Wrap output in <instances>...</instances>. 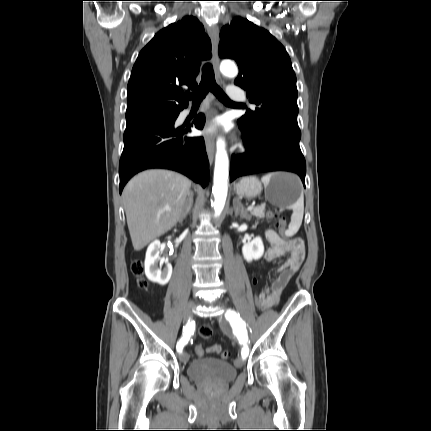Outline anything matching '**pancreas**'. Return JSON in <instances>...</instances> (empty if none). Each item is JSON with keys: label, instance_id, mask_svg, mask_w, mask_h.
I'll list each match as a JSON object with an SVG mask.
<instances>
[{"label": "pancreas", "instance_id": "pancreas-1", "mask_svg": "<svg viewBox=\"0 0 431 431\" xmlns=\"http://www.w3.org/2000/svg\"><path fill=\"white\" fill-rule=\"evenodd\" d=\"M250 214H251V216H254V217L259 218V219L265 218V206L261 205V206H257L255 208H253L250 211ZM266 217L267 218H272L273 215L272 214H267Z\"/></svg>", "mask_w": 431, "mask_h": 431}]
</instances>
